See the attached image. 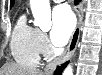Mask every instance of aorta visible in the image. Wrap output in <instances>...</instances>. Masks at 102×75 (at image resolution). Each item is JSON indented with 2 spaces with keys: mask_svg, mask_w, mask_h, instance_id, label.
<instances>
[{
  "mask_svg": "<svg viewBox=\"0 0 102 75\" xmlns=\"http://www.w3.org/2000/svg\"><path fill=\"white\" fill-rule=\"evenodd\" d=\"M30 6L34 17V25L43 31L50 30L52 22L49 0H30ZM63 75H73L71 65L67 66L63 71Z\"/></svg>",
  "mask_w": 102,
  "mask_h": 75,
  "instance_id": "obj_1",
  "label": "aorta"
}]
</instances>
